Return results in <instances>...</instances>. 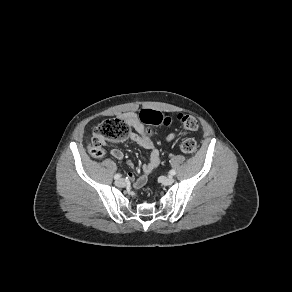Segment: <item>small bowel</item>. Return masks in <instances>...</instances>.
<instances>
[{"instance_id": "1", "label": "small bowel", "mask_w": 292, "mask_h": 292, "mask_svg": "<svg viewBox=\"0 0 292 292\" xmlns=\"http://www.w3.org/2000/svg\"><path fill=\"white\" fill-rule=\"evenodd\" d=\"M120 119H123L127 124L132 127L135 132L129 135V140L137 144L138 146L148 150L150 152L149 160L142 165V174L139 176L134 175L133 173H128L127 177L132 181L134 188L140 189L147 182V174L154 170L160 164V152L155 146L154 141L151 136L147 133L146 128L140 117L135 112H128L120 116ZM177 134L172 132L167 135L166 141L171 142L175 140ZM106 144V141H102V145ZM110 155L117 160H123L124 154L120 149H112ZM128 165L133 167V162L128 161Z\"/></svg>"}]
</instances>
